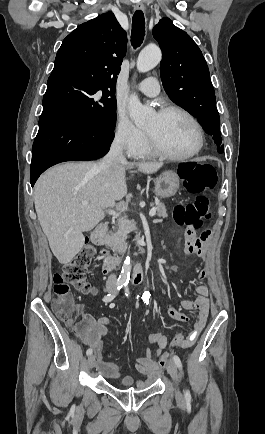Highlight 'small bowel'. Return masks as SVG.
<instances>
[{
	"label": "small bowel",
	"instance_id": "small-bowel-1",
	"mask_svg": "<svg viewBox=\"0 0 265 434\" xmlns=\"http://www.w3.org/2000/svg\"><path fill=\"white\" fill-rule=\"evenodd\" d=\"M209 236V234H208ZM201 234L197 236L192 229L186 231V243L183 249V256L196 255L201 257L203 255V247L206 239ZM205 271H201L197 280L192 282V287L196 293V296L190 300H183L180 306L184 310L197 311L194 319L192 331L187 334V339L183 349L190 348L201 334L209 314V288L202 281L205 279ZM82 315V321L80 326H73L78 337L82 342L94 350L95 355L101 354L102 339L107 332L110 321L107 317L94 318L85 309L84 306H77ZM168 315L180 322H188L191 317L172 307L168 306ZM72 325L71 323H69ZM151 341H155L158 344V348L155 350L147 349L145 355L137 360V369L140 373L146 375L148 378H140L137 384L140 387H149L151 383L156 382L158 377L157 367L155 363L156 357H158L162 351L167 347L168 342L166 337L161 332H156L150 336ZM170 347V346H169Z\"/></svg>",
	"mask_w": 265,
	"mask_h": 434
}]
</instances>
